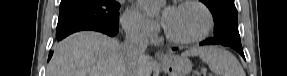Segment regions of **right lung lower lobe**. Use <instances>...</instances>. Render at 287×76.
Listing matches in <instances>:
<instances>
[{"label":"right lung lower lobe","instance_id":"98d812e1","mask_svg":"<svg viewBox=\"0 0 287 76\" xmlns=\"http://www.w3.org/2000/svg\"><path fill=\"white\" fill-rule=\"evenodd\" d=\"M80 30H95V31H99V32L105 33V34H107L109 36H115L117 34V32H118V26H112V27H109V26L81 27L79 29H74L72 31H69V32H67L65 34L59 35L57 37H58L59 40H61L62 38H65L69 34H71L73 32H76V31H80ZM51 56H52V52H50L48 60H50Z\"/></svg>","mask_w":287,"mask_h":76}]
</instances>
